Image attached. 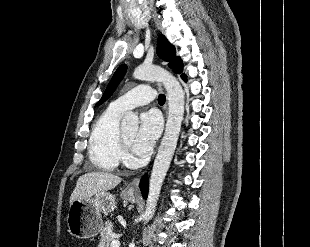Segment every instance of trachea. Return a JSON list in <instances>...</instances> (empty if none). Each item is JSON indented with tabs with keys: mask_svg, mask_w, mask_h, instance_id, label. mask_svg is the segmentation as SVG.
<instances>
[{
	"mask_svg": "<svg viewBox=\"0 0 310 247\" xmlns=\"http://www.w3.org/2000/svg\"><path fill=\"white\" fill-rule=\"evenodd\" d=\"M165 100H166L165 95L164 94H160L159 97H158L159 104H164Z\"/></svg>",
	"mask_w": 310,
	"mask_h": 247,
	"instance_id": "3493384b",
	"label": "trachea"
}]
</instances>
